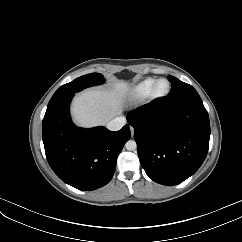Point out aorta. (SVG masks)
Instances as JSON below:
<instances>
[{"mask_svg": "<svg viewBox=\"0 0 242 242\" xmlns=\"http://www.w3.org/2000/svg\"><path fill=\"white\" fill-rule=\"evenodd\" d=\"M125 147L129 151H133L137 148V144L134 140H129L126 142Z\"/></svg>", "mask_w": 242, "mask_h": 242, "instance_id": "obj_1", "label": "aorta"}]
</instances>
